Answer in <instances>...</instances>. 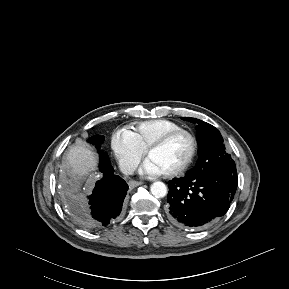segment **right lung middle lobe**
Listing matches in <instances>:
<instances>
[{
    "label": "right lung middle lobe",
    "instance_id": "obj_1",
    "mask_svg": "<svg viewBox=\"0 0 289 289\" xmlns=\"http://www.w3.org/2000/svg\"><path fill=\"white\" fill-rule=\"evenodd\" d=\"M105 137L104 136H93L91 137L88 142L95 145L97 147V149H100V145L104 142Z\"/></svg>",
    "mask_w": 289,
    "mask_h": 289
}]
</instances>
